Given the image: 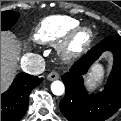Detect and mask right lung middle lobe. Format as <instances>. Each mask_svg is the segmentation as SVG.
Masks as SVG:
<instances>
[{
	"label": "right lung middle lobe",
	"mask_w": 121,
	"mask_h": 121,
	"mask_svg": "<svg viewBox=\"0 0 121 121\" xmlns=\"http://www.w3.org/2000/svg\"><path fill=\"white\" fill-rule=\"evenodd\" d=\"M19 15L11 10L1 12V30L10 29L17 22Z\"/></svg>",
	"instance_id": "obj_1"
}]
</instances>
